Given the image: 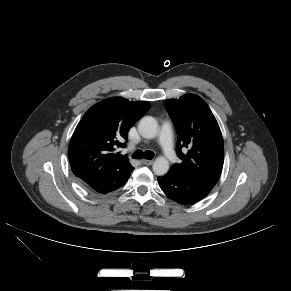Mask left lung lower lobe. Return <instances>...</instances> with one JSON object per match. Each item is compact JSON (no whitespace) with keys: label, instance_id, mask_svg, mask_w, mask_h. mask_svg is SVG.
Instances as JSON below:
<instances>
[{"label":"left lung lower lobe","instance_id":"0a47b994","mask_svg":"<svg viewBox=\"0 0 291 291\" xmlns=\"http://www.w3.org/2000/svg\"><path fill=\"white\" fill-rule=\"evenodd\" d=\"M162 191L172 200L180 204H192L208 195L214 187L191 176L169 170L162 177H158Z\"/></svg>","mask_w":291,"mask_h":291}]
</instances>
